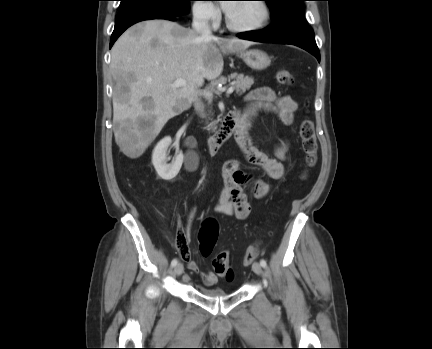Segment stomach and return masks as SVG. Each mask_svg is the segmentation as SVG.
Here are the masks:
<instances>
[{"instance_id": "obj_1", "label": "stomach", "mask_w": 432, "mask_h": 349, "mask_svg": "<svg viewBox=\"0 0 432 349\" xmlns=\"http://www.w3.org/2000/svg\"><path fill=\"white\" fill-rule=\"evenodd\" d=\"M243 61L252 69L263 70L266 69L270 63V57L263 51L253 49L241 53Z\"/></svg>"}]
</instances>
